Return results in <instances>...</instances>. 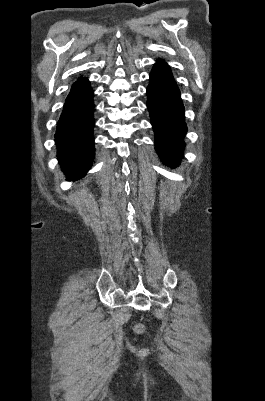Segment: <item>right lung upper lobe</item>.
I'll return each instance as SVG.
<instances>
[{
	"label": "right lung upper lobe",
	"instance_id": "obj_1",
	"mask_svg": "<svg viewBox=\"0 0 265 401\" xmlns=\"http://www.w3.org/2000/svg\"><path fill=\"white\" fill-rule=\"evenodd\" d=\"M84 82H88V80L86 78H79L73 85L79 84V83H84Z\"/></svg>",
	"mask_w": 265,
	"mask_h": 401
}]
</instances>
